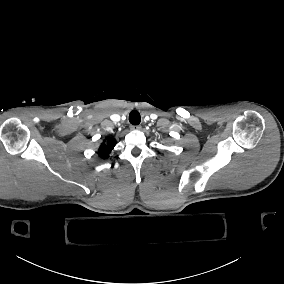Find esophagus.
<instances>
[{"label":"esophagus","instance_id":"1","mask_svg":"<svg viewBox=\"0 0 284 284\" xmlns=\"http://www.w3.org/2000/svg\"><path fill=\"white\" fill-rule=\"evenodd\" d=\"M130 129L133 130V131L134 130H141V126L140 125H131Z\"/></svg>","mask_w":284,"mask_h":284}]
</instances>
